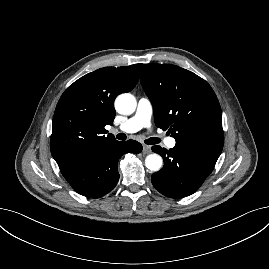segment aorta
Listing matches in <instances>:
<instances>
[{"label":"aorta","instance_id":"obj_1","mask_svg":"<svg viewBox=\"0 0 269 269\" xmlns=\"http://www.w3.org/2000/svg\"><path fill=\"white\" fill-rule=\"evenodd\" d=\"M137 106L136 99L129 93L119 95L115 100L116 111L123 115L132 114ZM163 159L160 155L153 153L145 158V166L151 171H159L162 168Z\"/></svg>","mask_w":269,"mask_h":269}]
</instances>
